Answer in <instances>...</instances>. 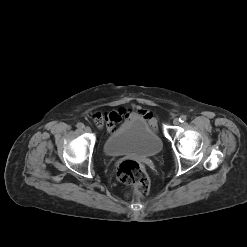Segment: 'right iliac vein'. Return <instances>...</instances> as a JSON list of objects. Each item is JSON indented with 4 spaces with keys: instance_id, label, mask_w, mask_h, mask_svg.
<instances>
[{
    "instance_id": "right-iliac-vein-1",
    "label": "right iliac vein",
    "mask_w": 247,
    "mask_h": 247,
    "mask_svg": "<svg viewBox=\"0 0 247 247\" xmlns=\"http://www.w3.org/2000/svg\"><path fill=\"white\" fill-rule=\"evenodd\" d=\"M84 131L87 133L91 132V128L89 126L84 127Z\"/></svg>"
}]
</instances>
